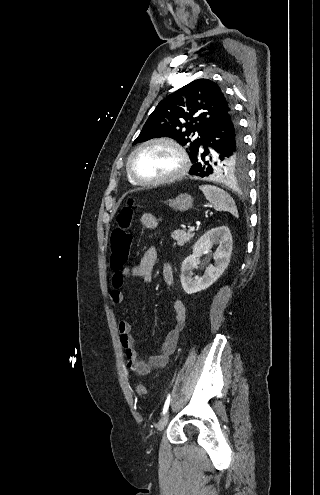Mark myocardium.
<instances>
[{"label": "myocardium", "instance_id": "obj_1", "mask_svg": "<svg viewBox=\"0 0 320 495\" xmlns=\"http://www.w3.org/2000/svg\"><path fill=\"white\" fill-rule=\"evenodd\" d=\"M154 144H164L170 146L177 153L179 159V167L174 173L166 177L151 179V180L142 179L138 177L133 171V167H132L133 159L140 150ZM188 168H189V159L185 149L179 142L169 137H155L142 142L137 147H135L132 150V152L129 154L126 164V170L129 178L135 184L141 186H159V185H165L176 182L186 174Z\"/></svg>", "mask_w": 320, "mask_h": 495}]
</instances>
